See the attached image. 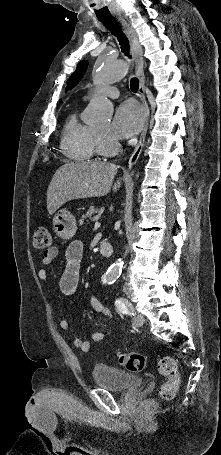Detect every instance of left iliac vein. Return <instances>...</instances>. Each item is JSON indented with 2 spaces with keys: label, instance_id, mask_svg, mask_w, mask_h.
<instances>
[{
  "label": "left iliac vein",
  "instance_id": "left-iliac-vein-1",
  "mask_svg": "<svg viewBox=\"0 0 221 455\" xmlns=\"http://www.w3.org/2000/svg\"><path fill=\"white\" fill-rule=\"evenodd\" d=\"M133 307V306H132ZM134 310V309H133ZM144 317L141 316V315H137L135 314V316L132 318V323L137 326V327H140L144 324Z\"/></svg>",
  "mask_w": 221,
  "mask_h": 455
}]
</instances>
